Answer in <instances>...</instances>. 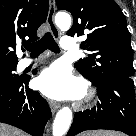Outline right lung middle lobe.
I'll return each instance as SVG.
<instances>
[{
  "label": "right lung middle lobe",
  "instance_id": "1",
  "mask_svg": "<svg viewBox=\"0 0 136 136\" xmlns=\"http://www.w3.org/2000/svg\"><path fill=\"white\" fill-rule=\"evenodd\" d=\"M17 63L0 64V84L12 83L19 79V75L15 74Z\"/></svg>",
  "mask_w": 136,
  "mask_h": 136
}]
</instances>
